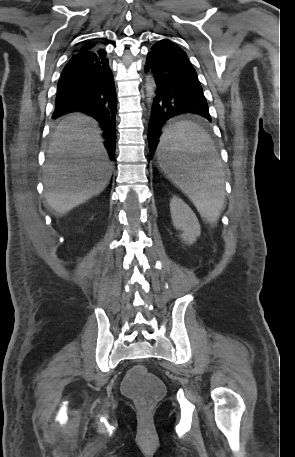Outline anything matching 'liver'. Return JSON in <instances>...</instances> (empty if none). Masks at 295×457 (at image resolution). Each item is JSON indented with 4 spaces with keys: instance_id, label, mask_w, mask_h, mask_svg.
<instances>
[{
    "instance_id": "liver-1",
    "label": "liver",
    "mask_w": 295,
    "mask_h": 457,
    "mask_svg": "<svg viewBox=\"0 0 295 457\" xmlns=\"http://www.w3.org/2000/svg\"><path fill=\"white\" fill-rule=\"evenodd\" d=\"M101 129L82 113L65 116L49 148L44 167L45 198L60 215L100 194L111 178V166L102 144Z\"/></svg>"
}]
</instances>
